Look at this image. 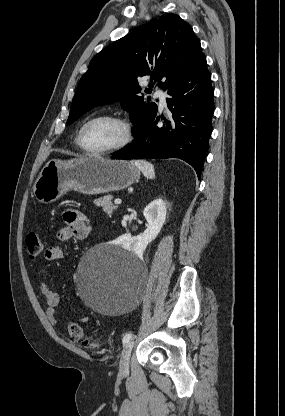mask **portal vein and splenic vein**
I'll use <instances>...</instances> for the list:
<instances>
[{
	"label": "portal vein and splenic vein",
	"instance_id": "obj_1",
	"mask_svg": "<svg viewBox=\"0 0 285 416\" xmlns=\"http://www.w3.org/2000/svg\"><path fill=\"white\" fill-rule=\"evenodd\" d=\"M114 204H121V200H114Z\"/></svg>",
	"mask_w": 285,
	"mask_h": 416
}]
</instances>
